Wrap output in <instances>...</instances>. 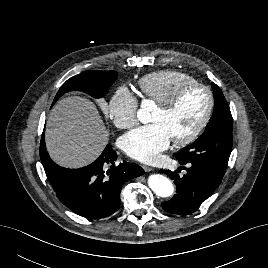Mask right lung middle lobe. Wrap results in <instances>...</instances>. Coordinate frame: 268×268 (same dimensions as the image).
<instances>
[{"label": "right lung middle lobe", "mask_w": 268, "mask_h": 268, "mask_svg": "<svg viewBox=\"0 0 268 268\" xmlns=\"http://www.w3.org/2000/svg\"><path fill=\"white\" fill-rule=\"evenodd\" d=\"M117 75L116 71H86L76 75L62 85L53 104L61 95L72 90L83 91L94 98H101L105 96Z\"/></svg>", "instance_id": "right-lung-middle-lobe-1"}]
</instances>
